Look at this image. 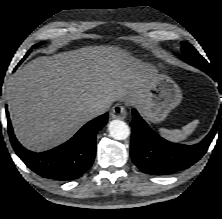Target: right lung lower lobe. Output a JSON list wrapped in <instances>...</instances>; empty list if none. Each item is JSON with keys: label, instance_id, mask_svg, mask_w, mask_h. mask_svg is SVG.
I'll list each match as a JSON object with an SVG mask.
<instances>
[{"label": "right lung lower lobe", "instance_id": "98d812e1", "mask_svg": "<svg viewBox=\"0 0 222 219\" xmlns=\"http://www.w3.org/2000/svg\"><path fill=\"white\" fill-rule=\"evenodd\" d=\"M7 121L12 146L27 167L44 178L67 181L79 178L91 167L96 154V134L107 123L108 113L88 122L66 143L41 153L22 147L15 138L9 116Z\"/></svg>", "mask_w": 222, "mask_h": 219}]
</instances>
